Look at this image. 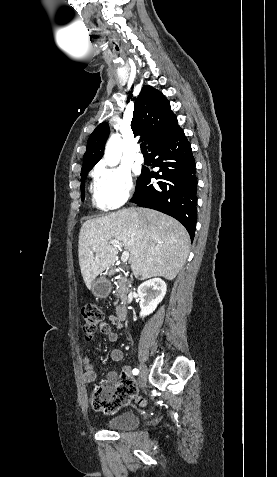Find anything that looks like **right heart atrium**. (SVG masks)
<instances>
[{"label": "right heart atrium", "mask_w": 277, "mask_h": 477, "mask_svg": "<svg viewBox=\"0 0 277 477\" xmlns=\"http://www.w3.org/2000/svg\"><path fill=\"white\" fill-rule=\"evenodd\" d=\"M95 178L101 200L108 209H117L131 198L134 192L132 177L122 167L99 164Z\"/></svg>", "instance_id": "obj_1"}]
</instances>
